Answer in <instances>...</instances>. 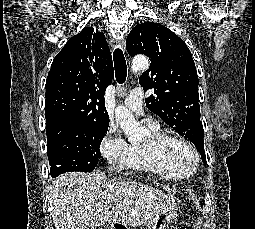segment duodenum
Masks as SVG:
<instances>
[{
    "label": "duodenum",
    "instance_id": "410a0bca",
    "mask_svg": "<svg viewBox=\"0 0 255 229\" xmlns=\"http://www.w3.org/2000/svg\"><path fill=\"white\" fill-rule=\"evenodd\" d=\"M108 229H127V227L122 223H112L109 225Z\"/></svg>",
    "mask_w": 255,
    "mask_h": 229
}]
</instances>
